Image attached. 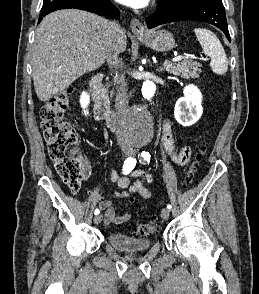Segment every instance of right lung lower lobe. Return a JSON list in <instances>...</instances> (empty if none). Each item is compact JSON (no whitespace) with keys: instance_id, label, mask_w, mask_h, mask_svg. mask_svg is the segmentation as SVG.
Instances as JSON below:
<instances>
[{"instance_id":"1","label":"right lung lower lobe","mask_w":259,"mask_h":294,"mask_svg":"<svg viewBox=\"0 0 259 294\" xmlns=\"http://www.w3.org/2000/svg\"><path fill=\"white\" fill-rule=\"evenodd\" d=\"M66 8H75L103 15L105 17L119 18V10L111 3L110 0H58L52 5L41 9L38 22L47 14Z\"/></svg>"}]
</instances>
